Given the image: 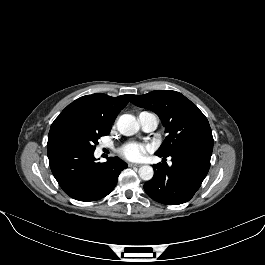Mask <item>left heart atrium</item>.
<instances>
[{"mask_svg":"<svg viewBox=\"0 0 265 265\" xmlns=\"http://www.w3.org/2000/svg\"><path fill=\"white\" fill-rule=\"evenodd\" d=\"M149 150V148L143 144L137 142H131L126 144L120 151L121 155L128 160L138 161L144 154Z\"/></svg>","mask_w":265,"mask_h":265,"instance_id":"1","label":"left heart atrium"}]
</instances>
